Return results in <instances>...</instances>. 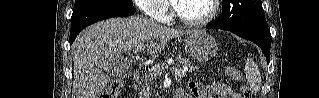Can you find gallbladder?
Returning a JSON list of instances; mask_svg holds the SVG:
<instances>
[{
  "mask_svg": "<svg viewBox=\"0 0 319 98\" xmlns=\"http://www.w3.org/2000/svg\"><path fill=\"white\" fill-rule=\"evenodd\" d=\"M108 66H110V68L112 69V71H116V62L114 63V61H110L107 63Z\"/></svg>",
  "mask_w": 319,
  "mask_h": 98,
  "instance_id": "obj_1",
  "label": "gallbladder"
}]
</instances>
